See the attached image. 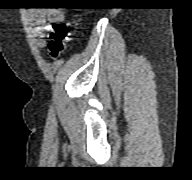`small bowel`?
<instances>
[{
  "label": "small bowel",
  "instance_id": "small-bowel-1",
  "mask_svg": "<svg viewBox=\"0 0 192 180\" xmlns=\"http://www.w3.org/2000/svg\"><path fill=\"white\" fill-rule=\"evenodd\" d=\"M63 20L64 13L57 8H41L29 12V23L38 47H45L44 32L51 28V24L59 23Z\"/></svg>",
  "mask_w": 192,
  "mask_h": 180
}]
</instances>
